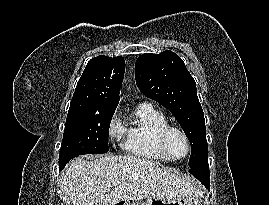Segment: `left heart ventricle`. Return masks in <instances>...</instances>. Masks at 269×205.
<instances>
[{
	"label": "left heart ventricle",
	"mask_w": 269,
	"mask_h": 205,
	"mask_svg": "<svg viewBox=\"0 0 269 205\" xmlns=\"http://www.w3.org/2000/svg\"><path fill=\"white\" fill-rule=\"evenodd\" d=\"M168 148L174 156H184L187 151L184 137L176 131L171 132L168 137Z\"/></svg>",
	"instance_id": "obj_1"
}]
</instances>
